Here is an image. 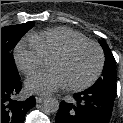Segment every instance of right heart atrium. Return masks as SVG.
I'll return each instance as SVG.
<instances>
[{
	"mask_svg": "<svg viewBox=\"0 0 123 123\" xmlns=\"http://www.w3.org/2000/svg\"><path fill=\"white\" fill-rule=\"evenodd\" d=\"M14 60L18 69L29 75L43 65L45 57L30 39H24L15 47Z\"/></svg>",
	"mask_w": 123,
	"mask_h": 123,
	"instance_id": "right-heart-atrium-1",
	"label": "right heart atrium"
}]
</instances>
